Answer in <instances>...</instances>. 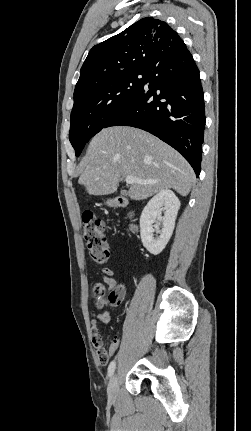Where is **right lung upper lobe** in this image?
<instances>
[{
    "label": "right lung upper lobe",
    "instance_id": "1",
    "mask_svg": "<svg viewBox=\"0 0 251 431\" xmlns=\"http://www.w3.org/2000/svg\"><path fill=\"white\" fill-rule=\"evenodd\" d=\"M180 46L184 42L166 22L143 18L90 50L74 95L122 74L146 70L159 55Z\"/></svg>",
    "mask_w": 251,
    "mask_h": 431
}]
</instances>
